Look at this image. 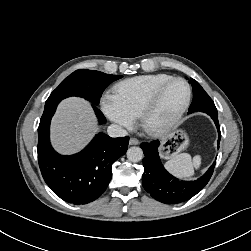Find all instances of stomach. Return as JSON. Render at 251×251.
<instances>
[{
	"label": "stomach",
	"instance_id": "1",
	"mask_svg": "<svg viewBox=\"0 0 251 251\" xmlns=\"http://www.w3.org/2000/svg\"><path fill=\"white\" fill-rule=\"evenodd\" d=\"M188 146V138L184 131L172 132L163 139L162 157L165 159L175 156Z\"/></svg>",
	"mask_w": 251,
	"mask_h": 251
}]
</instances>
